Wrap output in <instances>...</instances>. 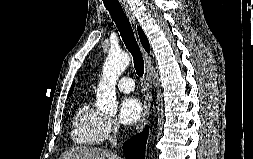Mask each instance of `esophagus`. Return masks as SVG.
Returning <instances> with one entry per match:
<instances>
[{"label":"esophagus","instance_id":"34e87169","mask_svg":"<svg viewBox=\"0 0 253 159\" xmlns=\"http://www.w3.org/2000/svg\"><path fill=\"white\" fill-rule=\"evenodd\" d=\"M119 2L121 3L123 10L125 12V14L127 15V17L129 18L130 22L135 24V17L128 5V3L126 2V0H119ZM143 56H144V60H145V72H144V86L146 89V95L143 101V113L141 115V118L139 120V123L136 127V132H140L145 120L147 119V117L150 114V107H151V100H152V94H151V68H152V60L151 57L148 53H146L143 50Z\"/></svg>","mask_w":253,"mask_h":159}]
</instances>
